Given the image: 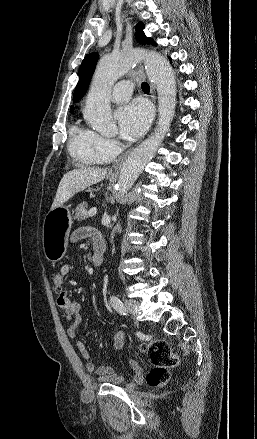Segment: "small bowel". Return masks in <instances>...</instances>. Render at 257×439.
<instances>
[{
  "instance_id": "1",
  "label": "small bowel",
  "mask_w": 257,
  "mask_h": 439,
  "mask_svg": "<svg viewBox=\"0 0 257 439\" xmlns=\"http://www.w3.org/2000/svg\"><path fill=\"white\" fill-rule=\"evenodd\" d=\"M91 238L93 241L101 238V235L91 228H79L71 236L73 242H77L84 238ZM71 272V265L66 263L60 268V275L62 277L67 276ZM58 306L64 310L66 319L71 321V324L67 328V334L70 338L76 337L77 326L82 321L81 304L76 301H72L66 292H63L58 296ZM112 349L119 351L125 346V335L123 332H115L111 336ZM77 349L85 360V369L88 373H92L95 369L94 364L89 356L85 344L81 341L77 342ZM130 367L133 371V378L127 380L124 376L118 375L114 368L109 365L100 366L96 370V375L100 381L119 385L125 382L139 384L143 381V370L139 363L133 359L130 360Z\"/></svg>"
}]
</instances>
